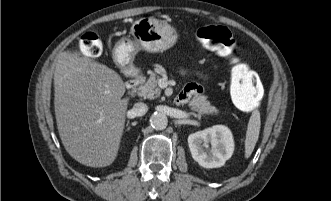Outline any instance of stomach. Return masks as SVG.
<instances>
[{
  "instance_id": "stomach-1",
  "label": "stomach",
  "mask_w": 331,
  "mask_h": 201,
  "mask_svg": "<svg viewBox=\"0 0 331 201\" xmlns=\"http://www.w3.org/2000/svg\"><path fill=\"white\" fill-rule=\"evenodd\" d=\"M130 34L132 38L122 37L115 45V57L122 67L130 66L141 49L151 53L163 52L177 41V34L170 25L150 17L136 20Z\"/></svg>"
}]
</instances>
